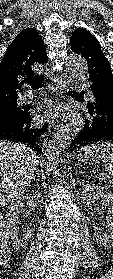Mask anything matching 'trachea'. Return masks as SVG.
<instances>
[{"label": "trachea", "mask_w": 113, "mask_h": 279, "mask_svg": "<svg viewBox=\"0 0 113 279\" xmlns=\"http://www.w3.org/2000/svg\"><path fill=\"white\" fill-rule=\"evenodd\" d=\"M25 82L29 83L30 86L33 89H37V88H39L41 86V84L43 82V78L40 77L39 75H36L35 77L30 78V79L26 80Z\"/></svg>", "instance_id": "trachea-1"}]
</instances>
